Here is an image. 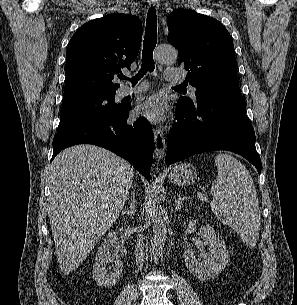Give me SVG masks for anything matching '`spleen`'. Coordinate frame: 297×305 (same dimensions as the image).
I'll return each mask as SVG.
<instances>
[{
  "label": "spleen",
  "instance_id": "obj_1",
  "mask_svg": "<svg viewBox=\"0 0 297 305\" xmlns=\"http://www.w3.org/2000/svg\"><path fill=\"white\" fill-rule=\"evenodd\" d=\"M218 175L212 182L211 210L254 247L259 238L260 210L257 191L246 167L228 154L215 158Z\"/></svg>",
  "mask_w": 297,
  "mask_h": 305
}]
</instances>
